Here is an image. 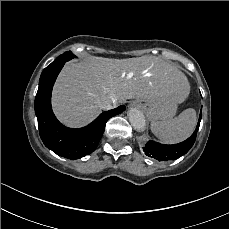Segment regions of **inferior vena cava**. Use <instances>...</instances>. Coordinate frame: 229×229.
<instances>
[{
  "instance_id": "obj_1",
  "label": "inferior vena cava",
  "mask_w": 229,
  "mask_h": 229,
  "mask_svg": "<svg viewBox=\"0 0 229 229\" xmlns=\"http://www.w3.org/2000/svg\"><path fill=\"white\" fill-rule=\"evenodd\" d=\"M116 101L115 100H109V101H105L104 104L102 105V108L104 109H111L114 106H116Z\"/></svg>"
}]
</instances>
